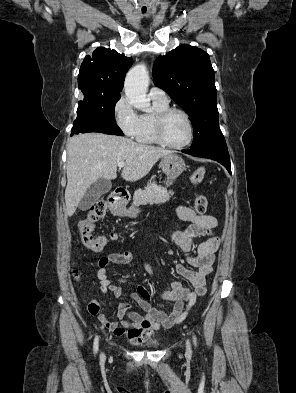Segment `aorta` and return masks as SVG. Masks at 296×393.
Segmentation results:
<instances>
[{
  "label": "aorta",
  "mask_w": 296,
  "mask_h": 393,
  "mask_svg": "<svg viewBox=\"0 0 296 393\" xmlns=\"http://www.w3.org/2000/svg\"><path fill=\"white\" fill-rule=\"evenodd\" d=\"M149 74L145 64H138L126 75L124 90L126 99L135 108L149 112L150 102L146 97Z\"/></svg>",
  "instance_id": "aorta-1"
}]
</instances>
